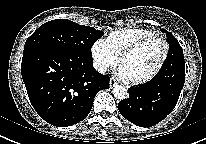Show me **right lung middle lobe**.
Returning <instances> with one entry per match:
<instances>
[{"instance_id": "right-lung-middle-lobe-1", "label": "right lung middle lobe", "mask_w": 206, "mask_h": 144, "mask_svg": "<svg viewBox=\"0 0 206 144\" xmlns=\"http://www.w3.org/2000/svg\"><path fill=\"white\" fill-rule=\"evenodd\" d=\"M103 34L93 27L79 25L67 19L51 20L40 26L27 39L23 52L47 48L93 60L91 48Z\"/></svg>"}]
</instances>
